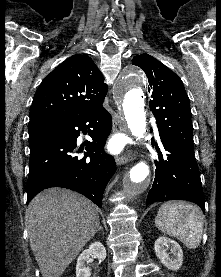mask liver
<instances>
[{
	"label": "liver",
	"instance_id": "obj_1",
	"mask_svg": "<svg viewBox=\"0 0 221 277\" xmlns=\"http://www.w3.org/2000/svg\"><path fill=\"white\" fill-rule=\"evenodd\" d=\"M30 246L42 277H61L99 228L98 208L62 188L36 195L25 214Z\"/></svg>",
	"mask_w": 221,
	"mask_h": 277
}]
</instances>
